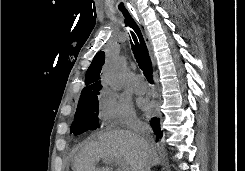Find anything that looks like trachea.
Listing matches in <instances>:
<instances>
[{"instance_id": "obj_1", "label": "trachea", "mask_w": 245, "mask_h": 171, "mask_svg": "<svg viewBox=\"0 0 245 171\" xmlns=\"http://www.w3.org/2000/svg\"><path fill=\"white\" fill-rule=\"evenodd\" d=\"M119 10L122 12L125 18L124 22L130 32L131 47L135 59L148 82L153 84L152 63L141 30L123 3L119 4Z\"/></svg>"}]
</instances>
